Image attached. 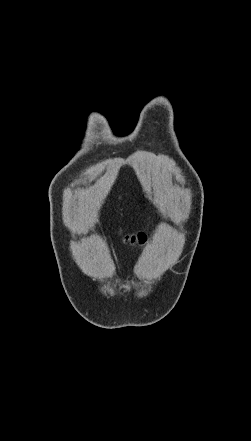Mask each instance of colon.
Listing matches in <instances>:
<instances>
[{"instance_id": "5ec220e1", "label": "colon", "mask_w": 251, "mask_h": 441, "mask_svg": "<svg viewBox=\"0 0 251 441\" xmlns=\"http://www.w3.org/2000/svg\"><path fill=\"white\" fill-rule=\"evenodd\" d=\"M126 241L132 244H143L146 241V234L143 232H138L135 234H130L125 237Z\"/></svg>"}]
</instances>
